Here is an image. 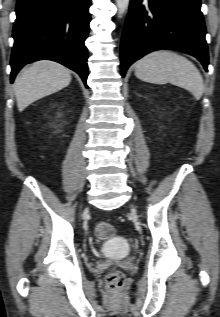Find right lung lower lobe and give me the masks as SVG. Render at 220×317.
<instances>
[{
  "label": "right lung lower lobe",
  "instance_id": "1",
  "mask_svg": "<svg viewBox=\"0 0 220 317\" xmlns=\"http://www.w3.org/2000/svg\"><path fill=\"white\" fill-rule=\"evenodd\" d=\"M89 7L90 0H17L11 82L25 64L47 59L74 70L86 83Z\"/></svg>",
  "mask_w": 220,
  "mask_h": 317
}]
</instances>
